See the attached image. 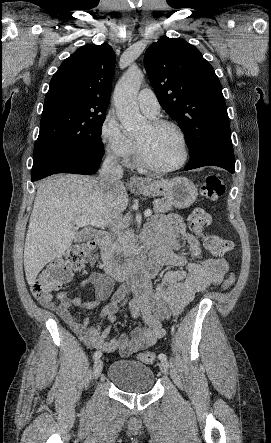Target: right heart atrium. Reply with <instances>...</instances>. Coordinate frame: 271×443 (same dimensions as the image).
<instances>
[{
	"label": "right heart atrium",
	"mask_w": 271,
	"mask_h": 443,
	"mask_svg": "<svg viewBox=\"0 0 271 443\" xmlns=\"http://www.w3.org/2000/svg\"><path fill=\"white\" fill-rule=\"evenodd\" d=\"M99 139L106 153L118 160L129 159L135 151L133 140L123 132L120 122L111 112L100 124Z\"/></svg>",
	"instance_id": "obj_1"
}]
</instances>
